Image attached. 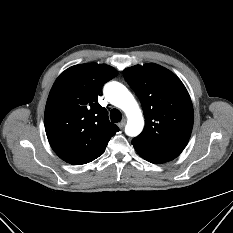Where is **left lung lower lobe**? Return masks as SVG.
Here are the masks:
<instances>
[{"label": "left lung lower lobe", "instance_id": "obj_1", "mask_svg": "<svg viewBox=\"0 0 233 233\" xmlns=\"http://www.w3.org/2000/svg\"><path fill=\"white\" fill-rule=\"evenodd\" d=\"M137 153L151 163H165L175 159L182 151V148L159 147L144 144L132 140Z\"/></svg>", "mask_w": 233, "mask_h": 233}]
</instances>
